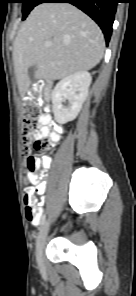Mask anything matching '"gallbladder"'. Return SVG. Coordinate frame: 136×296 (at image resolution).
Wrapping results in <instances>:
<instances>
[{
  "mask_svg": "<svg viewBox=\"0 0 136 296\" xmlns=\"http://www.w3.org/2000/svg\"><path fill=\"white\" fill-rule=\"evenodd\" d=\"M35 70H36V67L35 66H31L29 69H28V75H29V78L30 80L33 82L35 81Z\"/></svg>",
  "mask_w": 136,
  "mask_h": 296,
  "instance_id": "obj_1",
  "label": "gallbladder"
}]
</instances>
